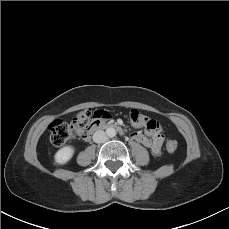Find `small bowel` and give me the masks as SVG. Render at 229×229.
Returning a JSON list of instances; mask_svg holds the SVG:
<instances>
[{"instance_id":"1","label":"small bowel","mask_w":229,"mask_h":229,"mask_svg":"<svg viewBox=\"0 0 229 229\" xmlns=\"http://www.w3.org/2000/svg\"><path fill=\"white\" fill-rule=\"evenodd\" d=\"M151 138L146 137L143 133L137 131L131 134V137L137 142L141 143L145 147L149 148L152 153L159 154L163 144V138L160 134V130H150Z\"/></svg>"}]
</instances>
